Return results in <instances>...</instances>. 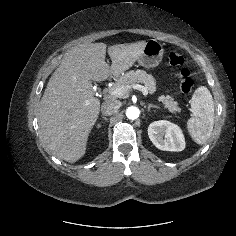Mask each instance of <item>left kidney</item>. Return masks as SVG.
<instances>
[{
	"label": "left kidney",
	"mask_w": 236,
	"mask_h": 236,
	"mask_svg": "<svg viewBox=\"0 0 236 236\" xmlns=\"http://www.w3.org/2000/svg\"><path fill=\"white\" fill-rule=\"evenodd\" d=\"M152 143L160 150L179 152L185 148V139L181 129L166 120L155 121L148 127Z\"/></svg>",
	"instance_id": "5707ae66"
}]
</instances>
